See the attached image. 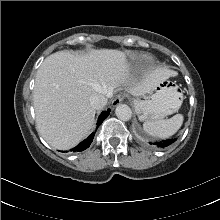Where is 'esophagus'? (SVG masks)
<instances>
[{
	"label": "esophagus",
	"instance_id": "esophagus-1",
	"mask_svg": "<svg viewBox=\"0 0 220 220\" xmlns=\"http://www.w3.org/2000/svg\"><path fill=\"white\" fill-rule=\"evenodd\" d=\"M123 99H124V95L123 94L116 95V97L112 101V105L114 107L118 106L123 101Z\"/></svg>",
	"mask_w": 220,
	"mask_h": 220
}]
</instances>
